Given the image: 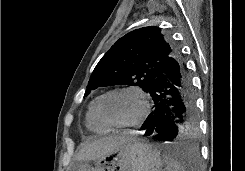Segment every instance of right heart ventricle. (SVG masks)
I'll use <instances>...</instances> for the list:
<instances>
[{"mask_svg": "<svg viewBox=\"0 0 245 171\" xmlns=\"http://www.w3.org/2000/svg\"><path fill=\"white\" fill-rule=\"evenodd\" d=\"M98 98H95L89 105L88 111L86 114V126L87 128L95 133H107L110 131V128L104 125L96 114V104Z\"/></svg>", "mask_w": 245, "mask_h": 171, "instance_id": "e07e8e85", "label": "right heart ventricle"}]
</instances>
